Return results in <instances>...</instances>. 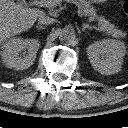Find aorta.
I'll return each instance as SVG.
<instances>
[{"label": "aorta", "instance_id": "762f6f07", "mask_svg": "<svg viewBox=\"0 0 128 128\" xmlns=\"http://www.w3.org/2000/svg\"><path fill=\"white\" fill-rule=\"evenodd\" d=\"M74 38V31L69 28V27H65L61 30L60 32V40L62 42H69Z\"/></svg>", "mask_w": 128, "mask_h": 128}]
</instances>
